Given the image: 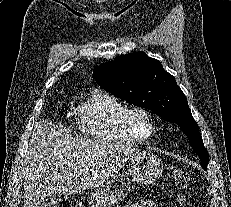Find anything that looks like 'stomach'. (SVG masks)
Segmentation results:
<instances>
[{"label":"stomach","mask_w":231,"mask_h":207,"mask_svg":"<svg viewBox=\"0 0 231 207\" xmlns=\"http://www.w3.org/2000/svg\"><path fill=\"white\" fill-rule=\"evenodd\" d=\"M163 173L161 159L152 153L140 151L129 160V174L137 184L149 186ZM131 192V180L122 174L108 179L100 191L92 192L88 198L91 207H111L123 201Z\"/></svg>","instance_id":"obj_1"}]
</instances>
